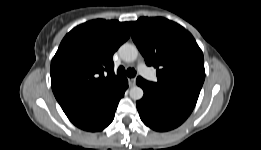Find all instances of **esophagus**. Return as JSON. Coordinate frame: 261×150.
Masks as SVG:
<instances>
[{"label": "esophagus", "instance_id": "obj_1", "mask_svg": "<svg viewBox=\"0 0 261 150\" xmlns=\"http://www.w3.org/2000/svg\"><path fill=\"white\" fill-rule=\"evenodd\" d=\"M129 84H130V86H135L136 85V79L135 78L129 79Z\"/></svg>", "mask_w": 261, "mask_h": 150}]
</instances>
